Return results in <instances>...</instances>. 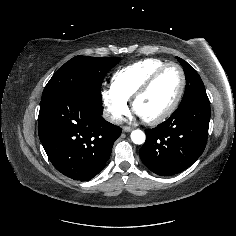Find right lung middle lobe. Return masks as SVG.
Here are the masks:
<instances>
[{
  "instance_id": "dd1d6c3e",
  "label": "right lung middle lobe",
  "mask_w": 236,
  "mask_h": 236,
  "mask_svg": "<svg viewBox=\"0 0 236 236\" xmlns=\"http://www.w3.org/2000/svg\"><path fill=\"white\" fill-rule=\"evenodd\" d=\"M120 58L75 56L61 66L44 88L41 101L62 92H76L102 105L101 85Z\"/></svg>"
}]
</instances>
